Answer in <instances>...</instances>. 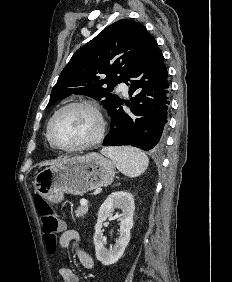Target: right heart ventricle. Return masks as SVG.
I'll list each match as a JSON object with an SVG mask.
<instances>
[{
    "label": "right heart ventricle",
    "mask_w": 232,
    "mask_h": 282,
    "mask_svg": "<svg viewBox=\"0 0 232 282\" xmlns=\"http://www.w3.org/2000/svg\"><path fill=\"white\" fill-rule=\"evenodd\" d=\"M48 140V139H47ZM49 142V141H48ZM50 147L53 149V146L49 143Z\"/></svg>",
    "instance_id": "1"
}]
</instances>
